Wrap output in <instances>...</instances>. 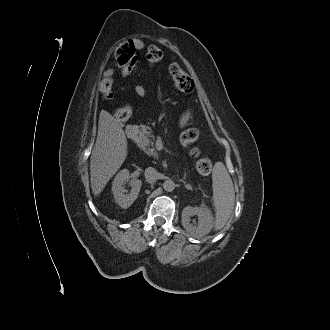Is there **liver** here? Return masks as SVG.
Wrapping results in <instances>:
<instances>
[{"instance_id": "1", "label": "liver", "mask_w": 330, "mask_h": 330, "mask_svg": "<svg viewBox=\"0 0 330 330\" xmlns=\"http://www.w3.org/2000/svg\"><path fill=\"white\" fill-rule=\"evenodd\" d=\"M127 157V139L118 121L101 111L98 134L90 158V183L98 196Z\"/></svg>"}]
</instances>
